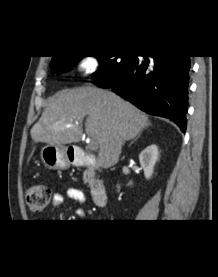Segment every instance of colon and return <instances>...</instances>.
<instances>
[{"label":"colon","instance_id":"1","mask_svg":"<svg viewBox=\"0 0 218 277\" xmlns=\"http://www.w3.org/2000/svg\"><path fill=\"white\" fill-rule=\"evenodd\" d=\"M51 198L49 187L43 184H35L26 190V204L32 212L43 211Z\"/></svg>","mask_w":218,"mask_h":277}]
</instances>
